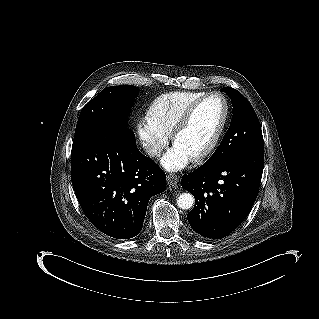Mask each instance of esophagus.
<instances>
[{
    "mask_svg": "<svg viewBox=\"0 0 319 319\" xmlns=\"http://www.w3.org/2000/svg\"><path fill=\"white\" fill-rule=\"evenodd\" d=\"M179 181V178L177 175L175 174H168L167 175V183L170 185V186H175Z\"/></svg>",
    "mask_w": 319,
    "mask_h": 319,
    "instance_id": "1",
    "label": "esophagus"
}]
</instances>
